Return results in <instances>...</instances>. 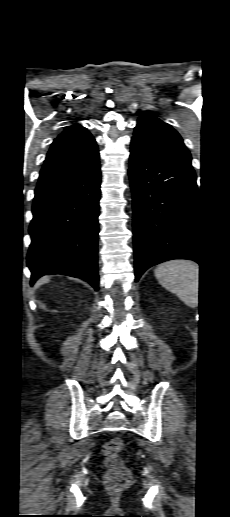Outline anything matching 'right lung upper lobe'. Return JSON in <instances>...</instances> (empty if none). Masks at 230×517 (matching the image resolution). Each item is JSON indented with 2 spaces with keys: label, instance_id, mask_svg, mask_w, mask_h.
<instances>
[{
  "label": "right lung upper lobe",
  "instance_id": "right-lung-upper-lobe-1",
  "mask_svg": "<svg viewBox=\"0 0 230 517\" xmlns=\"http://www.w3.org/2000/svg\"><path fill=\"white\" fill-rule=\"evenodd\" d=\"M99 163L96 141L85 127L74 124L52 143L40 172L38 186L63 181Z\"/></svg>",
  "mask_w": 230,
  "mask_h": 517
}]
</instances>
